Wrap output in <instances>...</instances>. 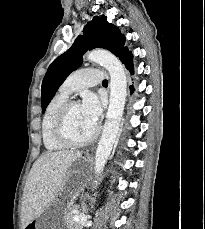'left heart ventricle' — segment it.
Segmentation results:
<instances>
[{
    "mask_svg": "<svg viewBox=\"0 0 205 229\" xmlns=\"http://www.w3.org/2000/svg\"><path fill=\"white\" fill-rule=\"evenodd\" d=\"M94 128L95 124L88 120L80 105H76L70 110L67 120V133L72 139H85Z\"/></svg>",
    "mask_w": 205,
    "mask_h": 229,
    "instance_id": "obj_1",
    "label": "left heart ventricle"
}]
</instances>
